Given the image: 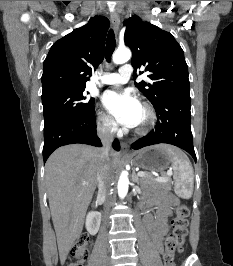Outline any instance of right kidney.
Masks as SVG:
<instances>
[{
	"instance_id": "right-kidney-1",
	"label": "right kidney",
	"mask_w": 233,
	"mask_h": 266,
	"mask_svg": "<svg viewBox=\"0 0 233 266\" xmlns=\"http://www.w3.org/2000/svg\"><path fill=\"white\" fill-rule=\"evenodd\" d=\"M101 213L89 212L86 217V229L91 235H95L100 227Z\"/></svg>"
}]
</instances>
